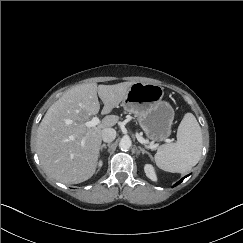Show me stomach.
<instances>
[{
  "label": "stomach",
  "instance_id": "1",
  "mask_svg": "<svg viewBox=\"0 0 243 243\" xmlns=\"http://www.w3.org/2000/svg\"><path fill=\"white\" fill-rule=\"evenodd\" d=\"M164 89L153 83L134 82L125 98L123 108L134 114L143 132L153 142L163 141L172 132L174 110L162 100Z\"/></svg>",
  "mask_w": 243,
  "mask_h": 243
}]
</instances>
